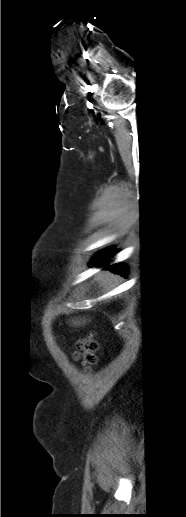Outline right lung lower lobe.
<instances>
[{"instance_id": "obj_1", "label": "right lung lower lobe", "mask_w": 186, "mask_h": 517, "mask_svg": "<svg viewBox=\"0 0 186 517\" xmlns=\"http://www.w3.org/2000/svg\"><path fill=\"white\" fill-rule=\"evenodd\" d=\"M113 255L110 253V252H104V253H101L100 255H98L97 258L94 259V262L91 264V266H94V265H98V264H101L107 260L110 259V257H112ZM98 259V261H97ZM111 267V269H113L115 272L121 274V275H125V269L124 267L118 265V264H114L112 266H108L106 267V269H109Z\"/></svg>"}]
</instances>
